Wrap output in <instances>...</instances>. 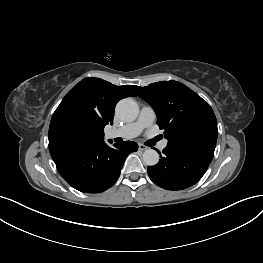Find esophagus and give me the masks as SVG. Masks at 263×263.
<instances>
[{"instance_id": "34e87169", "label": "esophagus", "mask_w": 263, "mask_h": 263, "mask_svg": "<svg viewBox=\"0 0 263 263\" xmlns=\"http://www.w3.org/2000/svg\"><path fill=\"white\" fill-rule=\"evenodd\" d=\"M138 148H139L140 151H145V150L148 149V147L145 146V145H143V144H139V145H138Z\"/></svg>"}]
</instances>
